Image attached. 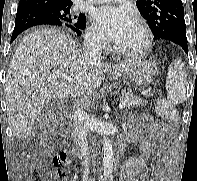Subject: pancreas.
Returning <instances> with one entry per match:
<instances>
[{
  "mask_svg": "<svg viewBox=\"0 0 197 181\" xmlns=\"http://www.w3.org/2000/svg\"><path fill=\"white\" fill-rule=\"evenodd\" d=\"M121 102H124L128 108L144 107L147 104V101L128 92L122 93Z\"/></svg>",
  "mask_w": 197,
  "mask_h": 181,
  "instance_id": "obj_1",
  "label": "pancreas"
}]
</instances>
